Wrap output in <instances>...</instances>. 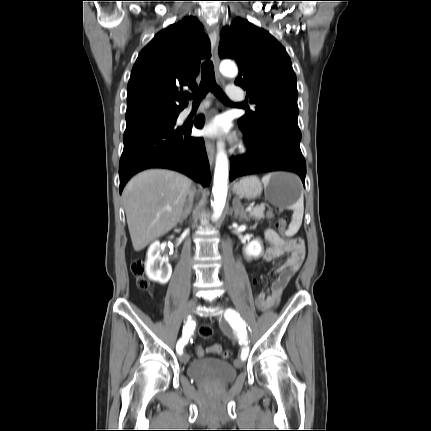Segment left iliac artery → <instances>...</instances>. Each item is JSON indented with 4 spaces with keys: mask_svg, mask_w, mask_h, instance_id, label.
I'll use <instances>...</instances> for the list:
<instances>
[{
    "mask_svg": "<svg viewBox=\"0 0 431 431\" xmlns=\"http://www.w3.org/2000/svg\"><path fill=\"white\" fill-rule=\"evenodd\" d=\"M225 318L233 324L240 333V339L244 342V344H247L246 342V323L242 320L240 315L233 309H228L225 313ZM249 349L247 347L242 349L241 352V358L243 360H246L248 356Z\"/></svg>",
    "mask_w": 431,
    "mask_h": 431,
    "instance_id": "44dca946",
    "label": "left iliac artery"
}]
</instances>
